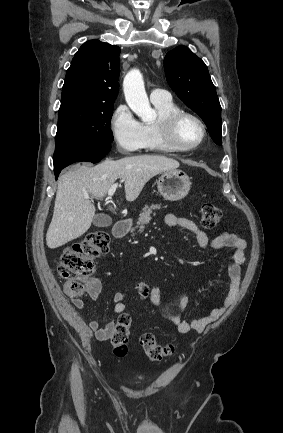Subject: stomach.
Returning a JSON list of instances; mask_svg holds the SVG:
<instances>
[{"mask_svg": "<svg viewBox=\"0 0 283 433\" xmlns=\"http://www.w3.org/2000/svg\"><path fill=\"white\" fill-rule=\"evenodd\" d=\"M190 178L183 170H165L157 180L160 194L166 200H181L190 190Z\"/></svg>", "mask_w": 283, "mask_h": 433, "instance_id": "stomach-1", "label": "stomach"}]
</instances>
